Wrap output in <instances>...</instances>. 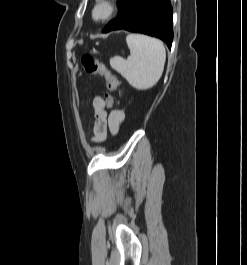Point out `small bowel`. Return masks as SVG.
Instances as JSON below:
<instances>
[{
	"label": "small bowel",
	"instance_id": "obj_1",
	"mask_svg": "<svg viewBox=\"0 0 247 265\" xmlns=\"http://www.w3.org/2000/svg\"><path fill=\"white\" fill-rule=\"evenodd\" d=\"M92 108L95 113L93 140L95 142H103L107 138L108 133L117 134L125 120V112L121 109H116L107 113L105 101L100 96L93 98Z\"/></svg>",
	"mask_w": 247,
	"mask_h": 265
}]
</instances>
